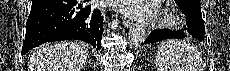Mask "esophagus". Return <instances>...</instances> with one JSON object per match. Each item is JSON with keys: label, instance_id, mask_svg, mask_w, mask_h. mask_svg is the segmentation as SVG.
Listing matches in <instances>:
<instances>
[{"label": "esophagus", "instance_id": "34e87169", "mask_svg": "<svg viewBox=\"0 0 230 71\" xmlns=\"http://www.w3.org/2000/svg\"><path fill=\"white\" fill-rule=\"evenodd\" d=\"M123 24H124V26H125L126 28H129V27L132 26L133 22H132L130 19H128V18H124Z\"/></svg>", "mask_w": 230, "mask_h": 71}]
</instances>
